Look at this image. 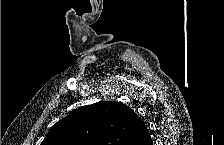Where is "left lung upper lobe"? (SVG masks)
Returning a JSON list of instances; mask_svg holds the SVG:
<instances>
[{
  "label": "left lung upper lobe",
  "instance_id": "obj_1",
  "mask_svg": "<svg viewBox=\"0 0 224 145\" xmlns=\"http://www.w3.org/2000/svg\"><path fill=\"white\" fill-rule=\"evenodd\" d=\"M144 122L127 105L104 101L72 111L41 145H134Z\"/></svg>",
  "mask_w": 224,
  "mask_h": 145
}]
</instances>
